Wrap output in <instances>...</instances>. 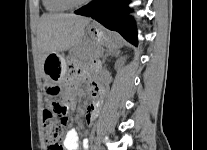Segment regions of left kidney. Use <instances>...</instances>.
<instances>
[{
	"label": "left kidney",
	"mask_w": 207,
	"mask_h": 150,
	"mask_svg": "<svg viewBox=\"0 0 207 150\" xmlns=\"http://www.w3.org/2000/svg\"><path fill=\"white\" fill-rule=\"evenodd\" d=\"M121 61H122V59L118 60V61L116 62V65H118Z\"/></svg>",
	"instance_id": "1"
}]
</instances>
